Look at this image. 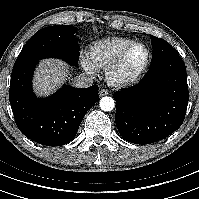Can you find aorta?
Wrapping results in <instances>:
<instances>
[{"label": "aorta", "instance_id": "1", "mask_svg": "<svg viewBox=\"0 0 199 199\" xmlns=\"http://www.w3.org/2000/svg\"><path fill=\"white\" fill-rule=\"evenodd\" d=\"M99 106L103 111H111L115 107V101L112 97H103L100 99Z\"/></svg>", "mask_w": 199, "mask_h": 199}]
</instances>
